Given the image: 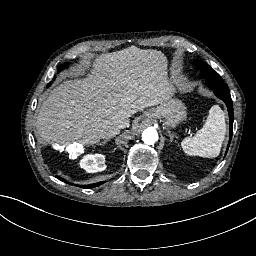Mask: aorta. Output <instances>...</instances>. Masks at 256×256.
Wrapping results in <instances>:
<instances>
[{"label": "aorta", "mask_w": 256, "mask_h": 256, "mask_svg": "<svg viewBox=\"0 0 256 256\" xmlns=\"http://www.w3.org/2000/svg\"><path fill=\"white\" fill-rule=\"evenodd\" d=\"M144 133H146L145 139L143 137ZM158 139H159L158 132L153 127L146 128L142 133V140L144 141L145 144L152 145L156 141H158Z\"/></svg>", "instance_id": "aorta-1"}]
</instances>
